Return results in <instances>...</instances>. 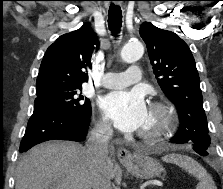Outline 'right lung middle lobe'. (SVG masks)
Returning a JSON list of instances; mask_svg holds the SVG:
<instances>
[{"label":"right lung middle lobe","instance_id":"dd1d6c3e","mask_svg":"<svg viewBox=\"0 0 223 189\" xmlns=\"http://www.w3.org/2000/svg\"><path fill=\"white\" fill-rule=\"evenodd\" d=\"M82 87L49 89L36 92L35 106L44 105L68 110L78 116L91 112L89 99L79 94Z\"/></svg>","mask_w":223,"mask_h":189}]
</instances>
